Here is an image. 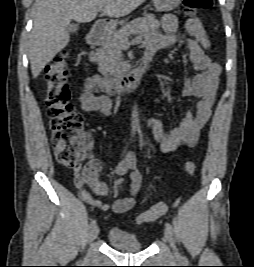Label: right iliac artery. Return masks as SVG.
Wrapping results in <instances>:
<instances>
[{"label":"right iliac artery","mask_w":254,"mask_h":267,"mask_svg":"<svg viewBox=\"0 0 254 267\" xmlns=\"http://www.w3.org/2000/svg\"><path fill=\"white\" fill-rule=\"evenodd\" d=\"M95 225H96V220L94 219V220L91 221V223H90V227H93V226H95Z\"/></svg>","instance_id":"1"}]
</instances>
